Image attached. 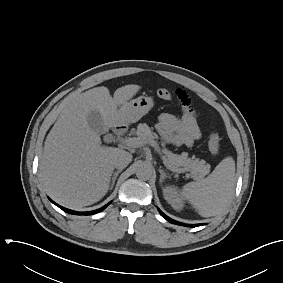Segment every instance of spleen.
<instances>
[{"label":"spleen","instance_id":"3e777b00","mask_svg":"<svg viewBox=\"0 0 283 283\" xmlns=\"http://www.w3.org/2000/svg\"><path fill=\"white\" fill-rule=\"evenodd\" d=\"M235 161L224 158L205 179L189 182L182 187L181 195L203 217L216 216L223 211L233 196Z\"/></svg>","mask_w":283,"mask_h":283}]
</instances>
